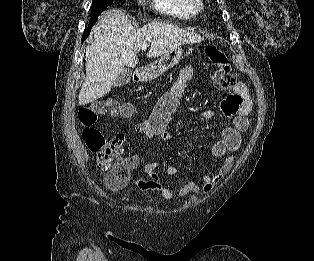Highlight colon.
<instances>
[{
	"mask_svg": "<svg viewBox=\"0 0 314 261\" xmlns=\"http://www.w3.org/2000/svg\"><path fill=\"white\" fill-rule=\"evenodd\" d=\"M207 58L217 67L213 78L219 89L235 87L236 78L230 69L226 54L216 46H208L205 50ZM121 112V108L113 98L96 101L82 106L78 111V119L83 126L82 137L87 148L98 158L97 166L104 172L105 184L114 189L127 183V167L130 164L118 159L123 150V143L118 138H107L95 127L100 117H112Z\"/></svg>",
	"mask_w": 314,
	"mask_h": 261,
	"instance_id": "1",
	"label": "colon"
}]
</instances>
